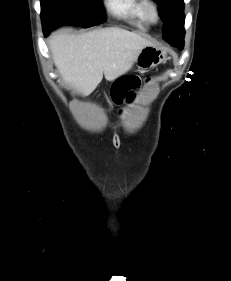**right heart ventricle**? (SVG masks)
<instances>
[{"label":"right heart ventricle","instance_id":"e07e8e85","mask_svg":"<svg viewBox=\"0 0 231 281\" xmlns=\"http://www.w3.org/2000/svg\"><path fill=\"white\" fill-rule=\"evenodd\" d=\"M105 7L116 18L127 20L139 27L147 24L142 0H105Z\"/></svg>","mask_w":231,"mask_h":281}]
</instances>
